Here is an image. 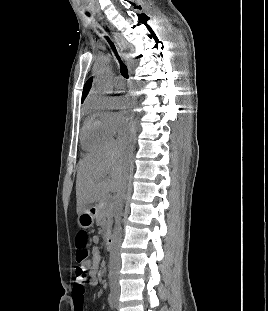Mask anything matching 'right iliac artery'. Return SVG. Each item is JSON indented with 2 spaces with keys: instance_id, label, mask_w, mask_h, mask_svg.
<instances>
[{
  "instance_id": "obj_1",
  "label": "right iliac artery",
  "mask_w": 268,
  "mask_h": 311,
  "mask_svg": "<svg viewBox=\"0 0 268 311\" xmlns=\"http://www.w3.org/2000/svg\"><path fill=\"white\" fill-rule=\"evenodd\" d=\"M108 303H109L111 309L115 308V298H114L112 293H109V295H108Z\"/></svg>"
}]
</instances>
